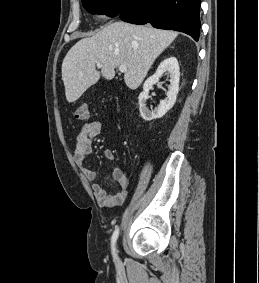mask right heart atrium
I'll list each match as a JSON object with an SVG mask.
<instances>
[{"instance_id": "right-heart-atrium-1", "label": "right heart atrium", "mask_w": 259, "mask_h": 283, "mask_svg": "<svg viewBox=\"0 0 259 283\" xmlns=\"http://www.w3.org/2000/svg\"><path fill=\"white\" fill-rule=\"evenodd\" d=\"M100 16H101L102 18H106V17H107V14H106V13H100Z\"/></svg>"}]
</instances>
